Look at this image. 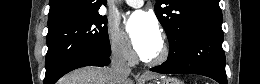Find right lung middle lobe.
I'll use <instances>...</instances> for the list:
<instances>
[{
    "label": "right lung middle lobe",
    "mask_w": 260,
    "mask_h": 84,
    "mask_svg": "<svg viewBox=\"0 0 260 84\" xmlns=\"http://www.w3.org/2000/svg\"><path fill=\"white\" fill-rule=\"evenodd\" d=\"M46 77L67 60L85 54L109 57L107 18L98 12L48 28Z\"/></svg>",
    "instance_id": "obj_1"
}]
</instances>
